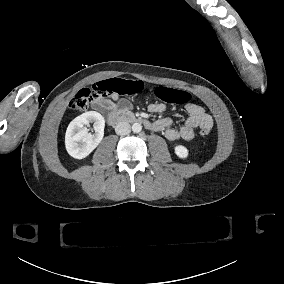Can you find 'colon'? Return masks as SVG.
<instances>
[{
    "mask_svg": "<svg viewBox=\"0 0 284 284\" xmlns=\"http://www.w3.org/2000/svg\"><path fill=\"white\" fill-rule=\"evenodd\" d=\"M142 80L110 79L103 80L82 87L70 100V108L73 110H88L91 105L99 103L102 98L111 95H136L144 89ZM156 94L160 99L173 105L187 103L189 96L183 90L164 89L158 87ZM203 138L210 136V129L205 127L200 130Z\"/></svg>",
    "mask_w": 284,
    "mask_h": 284,
    "instance_id": "colon-1",
    "label": "colon"
}]
</instances>
